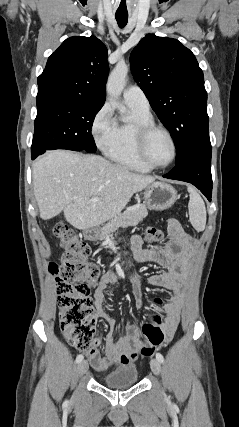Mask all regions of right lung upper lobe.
I'll return each mask as SVG.
<instances>
[{"mask_svg":"<svg viewBox=\"0 0 239 427\" xmlns=\"http://www.w3.org/2000/svg\"><path fill=\"white\" fill-rule=\"evenodd\" d=\"M108 73L107 48L101 40L94 36L70 37L48 58L38 77L37 100L103 105Z\"/></svg>","mask_w":239,"mask_h":427,"instance_id":"right-lung-upper-lobe-1","label":"right lung upper lobe"}]
</instances>
